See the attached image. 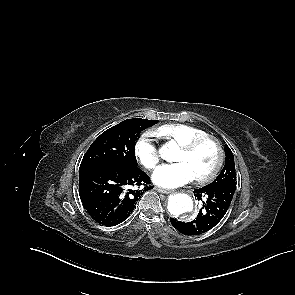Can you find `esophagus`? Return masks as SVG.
<instances>
[{"instance_id": "1", "label": "esophagus", "mask_w": 295, "mask_h": 295, "mask_svg": "<svg viewBox=\"0 0 295 295\" xmlns=\"http://www.w3.org/2000/svg\"><path fill=\"white\" fill-rule=\"evenodd\" d=\"M155 189H156L158 192L163 193V194H169V193H170V190H168V189H164V188H161V187H156Z\"/></svg>"}]
</instances>
